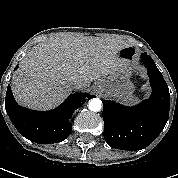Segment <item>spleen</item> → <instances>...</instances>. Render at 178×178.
<instances>
[{"mask_svg":"<svg viewBox=\"0 0 178 178\" xmlns=\"http://www.w3.org/2000/svg\"><path fill=\"white\" fill-rule=\"evenodd\" d=\"M125 101H127V102H137L138 101V98L136 97V98H134V97H131V98H128V99H125Z\"/></svg>","mask_w":178,"mask_h":178,"instance_id":"obj_1","label":"spleen"}]
</instances>
